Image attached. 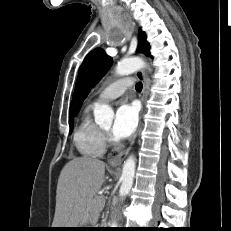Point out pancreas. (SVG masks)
Listing matches in <instances>:
<instances>
[{"instance_id":"pancreas-1","label":"pancreas","mask_w":231,"mask_h":231,"mask_svg":"<svg viewBox=\"0 0 231 231\" xmlns=\"http://www.w3.org/2000/svg\"><path fill=\"white\" fill-rule=\"evenodd\" d=\"M102 199V196H96L92 201L93 206L97 208V210H102L103 208Z\"/></svg>"}]
</instances>
